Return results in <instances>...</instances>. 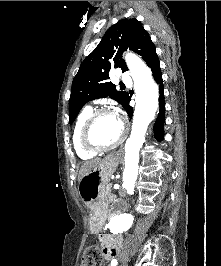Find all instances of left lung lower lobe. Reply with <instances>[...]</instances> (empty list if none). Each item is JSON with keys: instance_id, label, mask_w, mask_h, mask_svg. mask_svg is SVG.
I'll return each instance as SVG.
<instances>
[{"instance_id": "0a47b994", "label": "left lung lower lobe", "mask_w": 221, "mask_h": 266, "mask_svg": "<svg viewBox=\"0 0 221 266\" xmlns=\"http://www.w3.org/2000/svg\"><path fill=\"white\" fill-rule=\"evenodd\" d=\"M152 75L154 80L159 84V104H160V111L158 114V117L156 119V122L154 124V133L155 137L158 140H161L163 138V124L165 121V101H164V86H163V80H162V73L160 69V63L159 61L156 62L152 67H151ZM130 97H128L126 103H125V110L128 113L129 117L132 118L133 110L132 107L129 105Z\"/></svg>"}]
</instances>
